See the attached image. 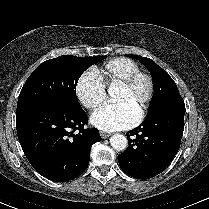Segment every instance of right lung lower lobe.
Returning a JSON list of instances; mask_svg holds the SVG:
<instances>
[{
  "mask_svg": "<svg viewBox=\"0 0 209 209\" xmlns=\"http://www.w3.org/2000/svg\"><path fill=\"white\" fill-rule=\"evenodd\" d=\"M87 122L81 107L53 105L21 116L16 127L33 168L51 181L66 182L87 168L91 146L101 140L98 129L84 128Z\"/></svg>",
  "mask_w": 209,
  "mask_h": 209,
  "instance_id": "1",
  "label": "right lung lower lobe"
}]
</instances>
